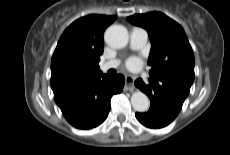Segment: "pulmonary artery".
<instances>
[{
	"label": "pulmonary artery",
	"mask_w": 230,
	"mask_h": 155,
	"mask_svg": "<svg viewBox=\"0 0 230 155\" xmlns=\"http://www.w3.org/2000/svg\"><path fill=\"white\" fill-rule=\"evenodd\" d=\"M148 39V33L145 29L134 27L131 30V36H130V46L134 50L141 49L147 42ZM119 60L118 59H112L107 62H104L100 65V69L103 72H106L110 69H114L118 67Z\"/></svg>",
	"instance_id": "e3ab8cb5"
}]
</instances>
